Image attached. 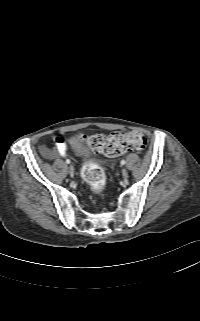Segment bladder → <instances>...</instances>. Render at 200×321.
I'll return each mask as SVG.
<instances>
[{
    "mask_svg": "<svg viewBox=\"0 0 200 321\" xmlns=\"http://www.w3.org/2000/svg\"><path fill=\"white\" fill-rule=\"evenodd\" d=\"M70 145L74 153L79 157H87L90 153V145L79 135H75L71 138Z\"/></svg>",
    "mask_w": 200,
    "mask_h": 321,
    "instance_id": "bladder-1",
    "label": "bladder"
}]
</instances>
